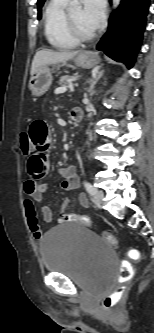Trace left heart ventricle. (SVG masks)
<instances>
[{
    "instance_id": "1",
    "label": "left heart ventricle",
    "mask_w": 154,
    "mask_h": 333,
    "mask_svg": "<svg viewBox=\"0 0 154 333\" xmlns=\"http://www.w3.org/2000/svg\"><path fill=\"white\" fill-rule=\"evenodd\" d=\"M69 13L73 21L76 23V25L80 28L81 31H83L84 33H91L94 31L84 23L82 19V7L80 5L69 8Z\"/></svg>"
}]
</instances>
